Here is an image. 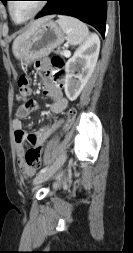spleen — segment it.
<instances>
[{
	"mask_svg": "<svg viewBox=\"0 0 133 253\" xmlns=\"http://www.w3.org/2000/svg\"><path fill=\"white\" fill-rule=\"evenodd\" d=\"M58 18L57 22L66 34V40L70 45H81L89 38L88 27L83 22L65 15H59Z\"/></svg>",
	"mask_w": 133,
	"mask_h": 253,
	"instance_id": "1",
	"label": "spleen"
}]
</instances>
